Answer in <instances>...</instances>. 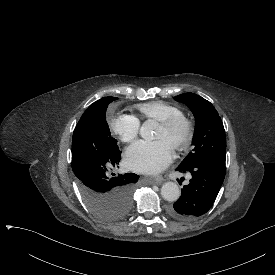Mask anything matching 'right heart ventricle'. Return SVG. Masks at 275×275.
<instances>
[{"mask_svg": "<svg viewBox=\"0 0 275 275\" xmlns=\"http://www.w3.org/2000/svg\"><path fill=\"white\" fill-rule=\"evenodd\" d=\"M148 121L154 120L162 122L174 116L181 115V110L173 105L162 101H153L145 104H140L135 107Z\"/></svg>", "mask_w": 275, "mask_h": 275, "instance_id": "right-heart-ventricle-1", "label": "right heart ventricle"}]
</instances>
